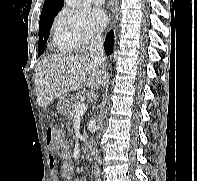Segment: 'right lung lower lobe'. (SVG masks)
<instances>
[{
	"instance_id": "1",
	"label": "right lung lower lobe",
	"mask_w": 197,
	"mask_h": 181,
	"mask_svg": "<svg viewBox=\"0 0 197 181\" xmlns=\"http://www.w3.org/2000/svg\"><path fill=\"white\" fill-rule=\"evenodd\" d=\"M113 45H114V33L111 30L108 36L106 37L104 43V49L107 55H110L112 53Z\"/></svg>"
}]
</instances>
